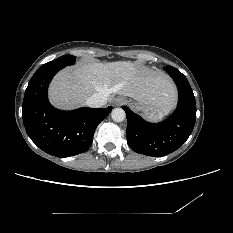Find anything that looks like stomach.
<instances>
[{"mask_svg":"<svg viewBox=\"0 0 233 233\" xmlns=\"http://www.w3.org/2000/svg\"><path fill=\"white\" fill-rule=\"evenodd\" d=\"M132 108L136 111H142L143 114L152 121L161 120L170 109L161 107L155 103H145L142 101L135 100L130 103Z\"/></svg>","mask_w":233,"mask_h":233,"instance_id":"stomach-1","label":"stomach"}]
</instances>
